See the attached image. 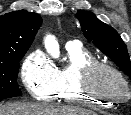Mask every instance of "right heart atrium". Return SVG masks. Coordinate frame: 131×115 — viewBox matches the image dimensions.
Listing matches in <instances>:
<instances>
[{
  "instance_id": "right-heart-atrium-1",
  "label": "right heart atrium",
  "mask_w": 131,
  "mask_h": 115,
  "mask_svg": "<svg viewBox=\"0 0 131 115\" xmlns=\"http://www.w3.org/2000/svg\"><path fill=\"white\" fill-rule=\"evenodd\" d=\"M21 79L29 94L37 100H49L58 89L57 70L40 49L31 51L24 58Z\"/></svg>"
}]
</instances>
